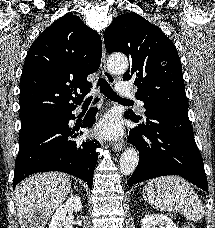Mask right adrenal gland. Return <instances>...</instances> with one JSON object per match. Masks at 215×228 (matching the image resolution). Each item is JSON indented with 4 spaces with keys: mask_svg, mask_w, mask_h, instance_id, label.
<instances>
[{
    "mask_svg": "<svg viewBox=\"0 0 215 228\" xmlns=\"http://www.w3.org/2000/svg\"><path fill=\"white\" fill-rule=\"evenodd\" d=\"M74 188H75V190H77V192H79V190H78L77 186H74Z\"/></svg>",
    "mask_w": 215,
    "mask_h": 228,
    "instance_id": "obj_1",
    "label": "right adrenal gland"
}]
</instances>
